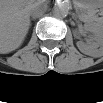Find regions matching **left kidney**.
<instances>
[{
  "label": "left kidney",
  "mask_w": 103,
  "mask_h": 103,
  "mask_svg": "<svg viewBox=\"0 0 103 103\" xmlns=\"http://www.w3.org/2000/svg\"><path fill=\"white\" fill-rule=\"evenodd\" d=\"M85 30H91L93 35L89 39L88 43H84L83 41H78L76 43L78 49L86 54L93 57H97L102 54V46H103V32L102 29H96L90 27V25L84 26Z\"/></svg>",
  "instance_id": "5707ae66"
}]
</instances>
